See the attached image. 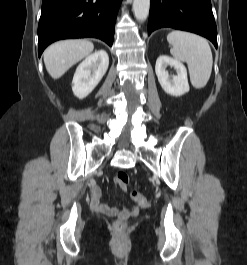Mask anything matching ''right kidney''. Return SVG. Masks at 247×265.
<instances>
[{
    "label": "right kidney",
    "mask_w": 247,
    "mask_h": 265,
    "mask_svg": "<svg viewBox=\"0 0 247 265\" xmlns=\"http://www.w3.org/2000/svg\"><path fill=\"white\" fill-rule=\"evenodd\" d=\"M109 65L105 50L95 51L77 67L72 81L73 94L79 99L87 97L101 81Z\"/></svg>",
    "instance_id": "obj_1"
}]
</instances>
